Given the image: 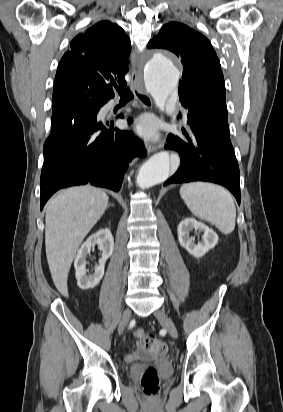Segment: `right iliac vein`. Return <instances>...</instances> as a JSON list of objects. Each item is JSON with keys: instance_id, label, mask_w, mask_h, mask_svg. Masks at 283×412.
<instances>
[{"instance_id": "right-iliac-vein-1", "label": "right iliac vein", "mask_w": 283, "mask_h": 412, "mask_svg": "<svg viewBox=\"0 0 283 412\" xmlns=\"http://www.w3.org/2000/svg\"><path fill=\"white\" fill-rule=\"evenodd\" d=\"M130 317H131V311H130V309H126L123 312V315L121 317V320H120V323H119V326H118V333L119 334H122L123 331L125 330V328L127 327L128 323H129V320H130Z\"/></svg>"}]
</instances>
